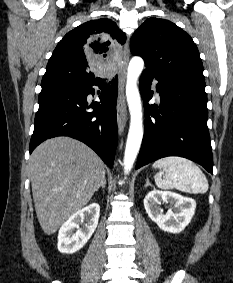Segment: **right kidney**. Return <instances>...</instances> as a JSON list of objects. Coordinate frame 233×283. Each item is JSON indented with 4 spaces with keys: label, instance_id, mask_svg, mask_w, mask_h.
<instances>
[{
    "label": "right kidney",
    "instance_id": "obj_1",
    "mask_svg": "<svg viewBox=\"0 0 233 283\" xmlns=\"http://www.w3.org/2000/svg\"><path fill=\"white\" fill-rule=\"evenodd\" d=\"M99 214V204L92 203L70 216L59 230L58 250L65 254L79 251L94 233L98 225ZM82 223L84 224L80 227Z\"/></svg>",
    "mask_w": 233,
    "mask_h": 283
}]
</instances>
